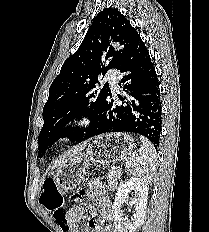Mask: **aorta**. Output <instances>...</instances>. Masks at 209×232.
Instances as JSON below:
<instances>
[{"label": "aorta", "mask_w": 209, "mask_h": 232, "mask_svg": "<svg viewBox=\"0 0 209 232\" xmlns=\"http://www.w3.org/2000/svg\"><path fill=\"white\" fill-rule=\"evenodd\" d=\"M112 45L115 47V49H122V46H120L118 43H114Z\"/></svg>", "instance_id": "762f6f07"}]
</instances>
